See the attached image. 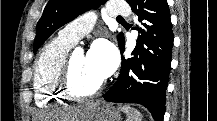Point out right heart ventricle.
Returning a JSON list of instances; mask_svg holds the SVG:
<instances>
[{"label": "right heart ventricle", "mask_w": 217, "mask_h": 121, "mask_svg": "<svg viewBox=\"0 0 217 121\" xmlns=\"http://www.w3.org/2000/svg\"><path fill=\"white\" fill-rule=\"evenodd\" d=\"M73 44L57 36L41 49L34 66L35 101L40 106H51L63 97L59 92L58 77Z\"/></svg>", "instance_id": "obj_1"}]
</instances>
